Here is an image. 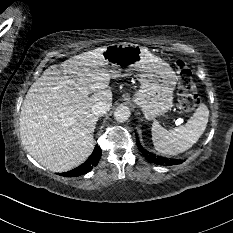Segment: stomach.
I'll return each instance as SVG.
<instances>
[{
    "label": "stomach",
    "instance_id": "0dacf381",
    "mask_svg": "<svg viewBox=\"0 0 233 233\" xmlns=\"http://www.w3.org/2000/svg\"><path fill=\"white\" fill-rule=\"evenodd\" d=\"M103 58L112 77L137 72L141 89L133 102L145 118L154 119L171 108L177 76L168 63L148 48L133 43L112 44L104 50Z\"/></svg>",
    "mask_w": 233,
    "mask_h": 233
}]
</instances>
